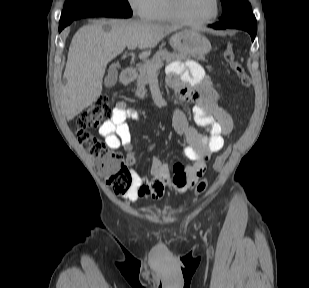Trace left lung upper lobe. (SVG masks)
Masks as SVG:
<instances>
[{
  "mask_svg": "<svg viewBox=\"0 0 309 288\" xmlns=\"http://www.w3.org/2000/svg\"><path fill=\"white\" fill-rule=\"evenodd\" d=\"M223 13L221 22H228L235 18L252 13L247 0H221Z\"/></svg>",
  "mask_w": 309,
  "mask_h": 288,
  "instance_id": "5c2ea615",
  "label": "left lung upper lobe"
}]
</instances>
